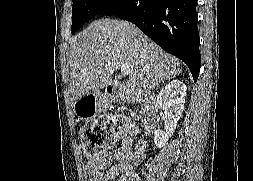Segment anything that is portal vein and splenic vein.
I'll return each instance as SVG.
<instances>
[{
	"label": "portal vein and splenic vein",
	"instance_id": "obj_1",
	"mask_svg": "<svg viewBox=\"0 0 253 181\" xmlns=\"http://www.w3.org/2000/svg\"><path fill=\"white\" fill-rule=\"evenodd\" d=\"M119 69L123 75H132L134 72L133 66L129 64H123Z\"/></svg>",
	"mask_w": 253,
	"mask_h": 181
}]
</instances>
